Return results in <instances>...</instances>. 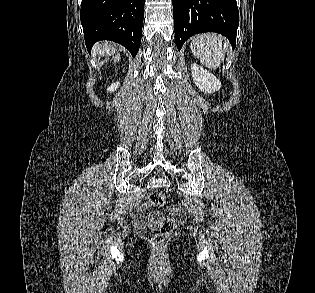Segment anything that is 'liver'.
Returning <instances> with one entry per match:
<instances>
[{
    "label": "liver",
    "mask_w": 315,
    "mask_h": 293,
    "mask_svg": "<svg viewBox=\"0 0 315 293\" xmlns=\"http://www.w3.org/2000/svg\"><path fill=\"white\" fill-rule=\"evenodd\" d=\"M115 52V46L108 43V42H100L95 45L94 47V53L100 56L111 55ZM120 60V54H117L116 57H114V62H117Z\"/></svg>",
    "instance_id": "liver-1"
}]
</instances>
